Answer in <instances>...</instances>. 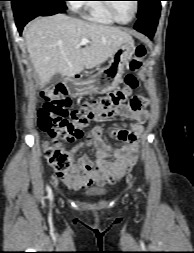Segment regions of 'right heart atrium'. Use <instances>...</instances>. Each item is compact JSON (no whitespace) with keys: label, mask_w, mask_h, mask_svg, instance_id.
<instances>
[{"label":"right heart atrium","mask_w":194,"mask_h":253,"mask_svg":"<svg viewBox=\"0 0 194 253\" xmlns=\"http://www.w3.org/2000/svg\"><path fill=\"white\" fill-rule=\"evenodd\" d=\"M81 1L80 0H71L70 1V7L73 10H78L81 7Z\"/></svg>","instance_id":"1"}]
</instances>
